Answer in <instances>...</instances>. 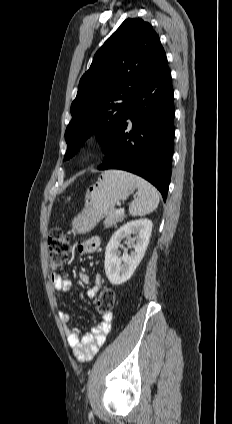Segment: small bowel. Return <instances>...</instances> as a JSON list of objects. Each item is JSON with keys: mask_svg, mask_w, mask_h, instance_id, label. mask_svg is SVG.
Instances as JSON below:
<instances>
[{"mask_svg": "<svg viewBox=\"0 0 232 424\" xmlns=\"http://www.w3.org/2000/svg\"><path fill=\"white\" fill-rule=\"evenodd\" d=\"M99 245L100 240L97 237H90L79 244L78 251L80 254H91L98 249ZM78 278L83 284H91L87 290V296L89 298H95L101 289L100 277L97 275L91 277L86 272H80ZM51 282L55 290L60 294H66L73 289L71 280L61 273H53L51 275ZM58 316L64 325L68 345L75 358L82 363L90 361L103 346L106 336L111 330L112 312L104 314L103 322L93 327L90 333L83 336H80L79 331L70 325L72 320L70 312L60 309Z\"/></svg>", "mask_w": 232, "mask_h": 424, "instance_id": "1", "label": "small bowel"}]
</instances>
